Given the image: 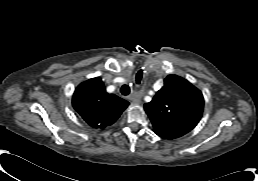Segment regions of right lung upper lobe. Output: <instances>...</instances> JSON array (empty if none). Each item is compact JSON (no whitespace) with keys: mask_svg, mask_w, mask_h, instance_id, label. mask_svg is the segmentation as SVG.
<instances>
[{"mask_svg":"<svg viewBox=\"0 0 258 181\" xmlns=\"http://www.w3.org/2000/svg\"><path fill=\"white\" fill-rule=\"evenodd\" d=\"M72 104L80 116L94 128L113 124L129 103L106 92L100 77L81 83L75 90Z\"/></svg>","mask_w":258,"mask_h":181,"instance_id":"right-lung-upper-lobe-1","label":"right lung upper lobe"}]
</instances>
